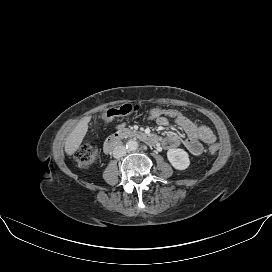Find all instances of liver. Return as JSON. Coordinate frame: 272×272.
Masks as SVG:
<instances>
[{"label":"liver","instance_id":"6515ba94","mask_svg":"<svg viewBox=\"0 0 272 272\" xmlns=\"http://www.w3.org/2000/svg\"><path fill=\"white\" fill-rule=\"evenodd\" d=\"M91 117H85L79 121L65 141V152L67 155L74 154L81 145L88 131V123Z\"/></svg>","mask_w":272,"mask_h":272}]
</instances>
